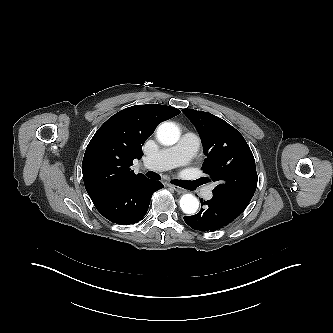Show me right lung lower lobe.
Wrapping results in <instances>:
<instances>
[{
    "instance_id": "98d812e1",
    "label": "right lung lower lobe",
    "mask_w": 333,
    "mask_h": 333,
    "mask_svg": "<svg viewBox=\"0 0 333 333\" xmlns=\"http://www.w3.org/2000/svg\"><path fill=\"white\" fill-rule=\"evenodd\" d=\"M161 188H163L162 183L146 178L93 203L109 221L120 225H130L139 222L145 216L152 194Z\"/></svg>"
}]
</instances>
